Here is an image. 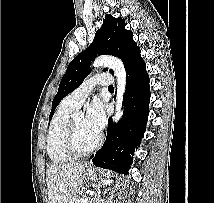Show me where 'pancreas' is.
I'll list each match as a JSON object with an SVG mask.
<instances>
[{"label": "pancreas", "mask_w": 214, "mask_h": 203, "mask_svg": "<svg viewBox=\"0 0 214 203\" xmlns=\"http://www.w3.org/2000/svg\"><path fill=\"white\" fill-rule=\"evenodd\" d=\"M78 198L77 197H73L70 201H69V203H78ZM79 203H82V202H79Z\"/></svg>", "instance_id": "obj_1"}]
</instances>
